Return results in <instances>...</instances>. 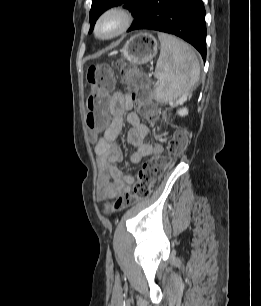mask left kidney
I'll use <instances>...</instances> for the list:
<instances>
[{
    "instance_id": "left-kidney-1",
    "label": "left kidney",
    "mask_w": 261,
    "mask_h": 306,
    "mask_svg": "<svg viewBox=\"0 0 261 306\" xmlns=\"http://www.w3.org/2000/svg\"><path fill=\"white\" fill-rule=\"evenodd\" d=\"M177 113H178V115H180V116H186V115L188 114V109H187L186 107H183V108L179 109V110L177 111Z\"/></svg>"
}]
</instances>
